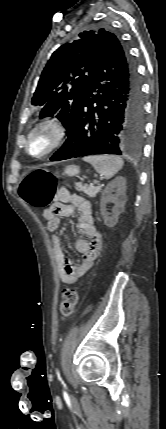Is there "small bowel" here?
Segmentation results:
<instances>
[{
  "label": "small bowel",
  "mask_w": 166,
  "mask_h": 429,
  "mask_svg": "<svg viewBox=\"0 0 166 429\" xmlns=\"http://www.w3.org/2000/svg\"><path fill=\"white\" fill-rule=\"evenodd\" d=\"M70 198L57 195L51 207L44 210L43 216L47 221V229L53 234L52 249L58 265V274L62 282L66 284L75 283L94 264L100 255L103 247L102 234L97 230L91 207L88 204H69ZM76 208L79 209L77 227L86 238L78 239L75 242L76 250L82 255V261L74 264L65 258L61 238L56 233L60 227V217H69L74 214Z\"/></svg>",
  "instance_id": "obj_1"
}]
</instances>
